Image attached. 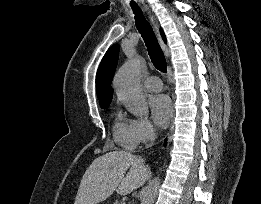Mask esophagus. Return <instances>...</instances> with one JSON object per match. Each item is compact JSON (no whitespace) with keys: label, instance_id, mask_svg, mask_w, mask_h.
Masks as SVG:
<instances>
[{"label":"esophagus","instance_id":"34e87169","mask_svg":"<svg viewBox=\"0 0 261 204\" xmlns=\"http://www.w3.org/2000/svg\"><path fill=\"white\" fill-rule=\"evenodd\" d=\"M148 15H149V18H150L151 22H152L153 25H154V28H155V30H156L158 39H159V41H160L162 50H163V52H164L166 58L169 59V57H170V51H169L167 45L163 42V40H162V38H161V36H160V34H159V26H158V23H157V21H156V18H155V16H154L150 11L148 12Z\"/></svg>","mask_w":261,"mask_h":204}]
</instances>
